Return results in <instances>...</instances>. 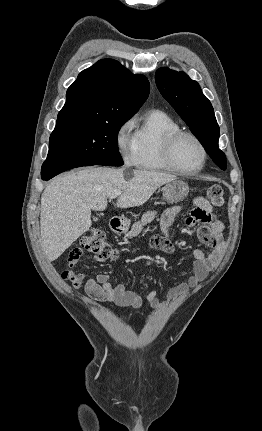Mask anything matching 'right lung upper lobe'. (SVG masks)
I'll return each mask as SVG.
<instances>
[{
    "label": "right lung upper lobe",
    "mask_w": 262,
    "mask_h": 431,
    "mask_svg": "<svg viewBox=\"0 0 262 431\" xmlns=\"http://www.w3.org/2000/svg\"><path fill=\"white\" fill-rule=\"evenodd\" d=\"M149 82L133 75L118 61L99 60L68 88L56 125L79 120L131 118L149 95Z\"/></svg>",
    "instance_id": "1"
}]
</instances>
